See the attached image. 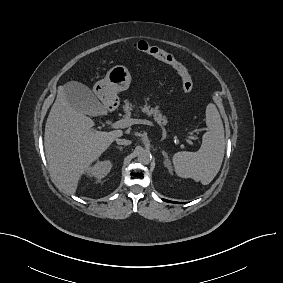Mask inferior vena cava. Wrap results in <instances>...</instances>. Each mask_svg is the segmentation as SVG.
<instances>
[{
  "label": "inferior vena cava",
  "instance_id": "1",
  "mask_svg": "<svg viewBox=\"0 0 283 283\" xmlns=\"http://www.w3.org/2000/svg\"><path fill=\"white\" fill-rule=\"evenodd\" d=\"M116 143L118 145H130L131 144V141L130 140H127V139H116Z\"/></svg>",
  "mask_w": 283,
  "mask_h": 283
}]
</instances>
